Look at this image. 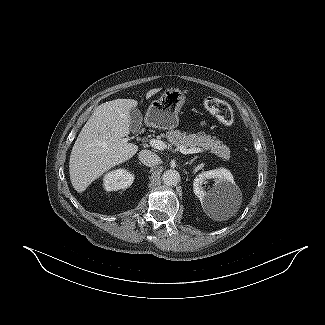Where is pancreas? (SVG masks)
Listing matches in <instances>:
<instances>
[{"mask_svg":"<svg viewBox=\"0 0 325 325\" xmlns=\"http://www.w3.org/2000/svg\"><path fill=\"white\" fill-rule=\"evenodd\" d=\"M167 140L175 145H182L186 148L202 147L204 150H210L212 153L227 161L230 158V149L222 141L206 135L205 132L189 134L180 130H170L166 133Z\"/></svg>","mask_w":325,"mask_h":325,"instance_id":"cf45deb5","label":"pancreas"}]
</instances>
